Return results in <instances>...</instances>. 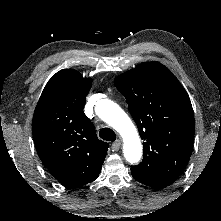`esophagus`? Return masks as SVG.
Here are the masks:
<instances>
[{
  "instance_id": "1",
  "label": "esophagus",
  "mask_w": 221,
  "mask_h": 221,
  "mask_svg": "<svg viewBox=\"0 0 221 221\" xmlns=\"http://www.w3.org/2000/svg\"><path fill=\"white\" fill-rule=\"evenodd\" d=\"M121 146V141L120 140H116L115 142L112 143V150L113 151H118L120 149Z\"/></svg>"
}]
</instances>
